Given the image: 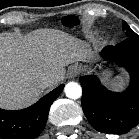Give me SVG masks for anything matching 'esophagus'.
Listing matches in <instances>:
<instances>
[{"label": "esophagus", "instance_id": "34e87169", "mask_svg": "<svg viewBox=\"0 0 139 139\" xmlns=\"http://www.w3.org/2000/svg\"><path fill=\"white\" fill-rule=\"evenodd\" d=\"M81 71V67L78 65H74L72 67H70L69 71H68V75L70 78H74L75 76H77Z\"/></svg>", "mask_w": 139, "mask_h": 139}]
</instances>
